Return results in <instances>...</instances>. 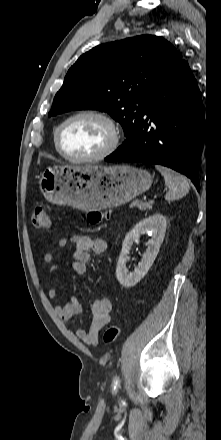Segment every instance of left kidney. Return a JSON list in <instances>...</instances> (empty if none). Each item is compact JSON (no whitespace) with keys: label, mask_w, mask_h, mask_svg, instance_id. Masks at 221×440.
Wrapping results in <instances>:
<instances>
[{"label":"left kidney","mask_w":221,"mask_h":440,"mask_svg":"<svg viewBox=\"0 0 221 440\" xmlns=\"http://www.w3.org/2000/svg\"><path fill=\"white\" fill-rule=\"evenodd\" d=\"M166 226L167 220L165 216L156 213L139 221L125 236L116 268V277L123 287H133L146 275L157 257L160 246L164 240ZM143 234L151 236V239L146 243V253L143 255L142 261L138 264V267L135 268L133 272L128 273L126 262L129 251L133 243L138 241Z\"/></svg>","instance_id":"1"}]
</instances>
